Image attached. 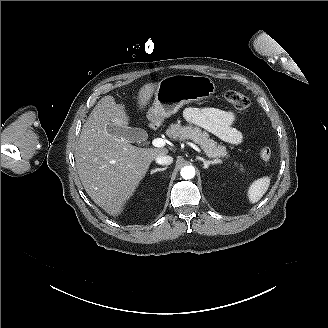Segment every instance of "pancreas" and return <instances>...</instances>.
<instances>
[{
  "instance_id": "1",
  "label": "pancreas",
  "mask_w": 328,
  "mask_h": 328,
  "mask_svg": "<svg viewBox=\"0 0 328 328\" xmlns=\"http://www.w3.org/2000/svg\"><path fill=\"white\" fill-rule=\"evenodd\" d=\"M167 135L173 139L179 141H192L200 145L206 155L214 159L213 163L216 165H222L223 161H229L232 159L231 154L227 152L226 146L222 143L217 144L213 139H210L209 134L202 131L199 127L192 125H182L181 123L172 124L167 129ZM234 168L238 169L240 174H244L243 164L238 162L233 163Z\"/></svg>"
}]
</instances>
